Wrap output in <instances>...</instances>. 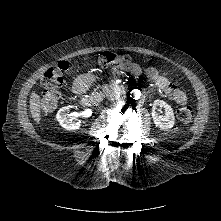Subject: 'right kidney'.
Wrapping results in <instances>:
<instances>
[{
  "instance_id": "ca27d5eb",
  "label": "right kidney",
  "mask_w": 221,
  "mask_h": 221,
  "mask_svg": "<svg viewBox=\"0 0 221 221\" xmlns=\"http://www.w3.org/2000/svg\"><path fill=\"white\" fill-rule=\"evenodd\" d=\"M74 108V106H66V107H63L61 108L57 115H56V118L58 120V122L60 123V125L66 129V130H76L80 127V123L77 122H73L71 119H69V117L67 116V113L70 109Z\"/></svg>"
}]
</instances>
